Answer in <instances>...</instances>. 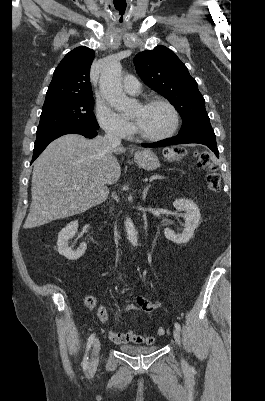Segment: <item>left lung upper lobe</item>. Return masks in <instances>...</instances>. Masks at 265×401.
Returning a JSON list of instances; mask_svg holds the SVG:
<instances>
[{
    "label": "left lung upper lobe",
    "instance_id": "5c2ea615",
    "mask_svg": "<svg viewBox=\"0 0 265 401\" xmlns=\"http://www.w3.org/2000/svg\"><path fill=\"white\" fill-rule=\"evenodd\" d=\"M134 65L143 82L167 98L180 113L179 132L210 123L197 82L174 52L157 46L152 51L138 53Z\"/></svg>",
    "mask_w": 265,
    "mask_h": 401
}]
</instances>
